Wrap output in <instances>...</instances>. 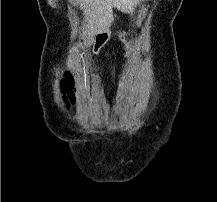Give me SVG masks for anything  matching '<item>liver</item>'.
I'll use <instances>...</instances> for the list:
<instances>
[{
  "instance_id": "liver-1",
  "label": "liver",
  "mask_w": 217,
  "mask_h": 202,
  "mask_svg": "<svg viewBox=\"0 0 217 202\" xmlns=\"http://www.w3.org/2000/svg\"><path fill=\"white\" fill-rule=\"evenodd\" d=\"M74 2V0H73ZM86 16L88 32L104 34L108 32L114 18L113 8L132 14L139 0H75Z\"/></svg>"
}]
</instances>
